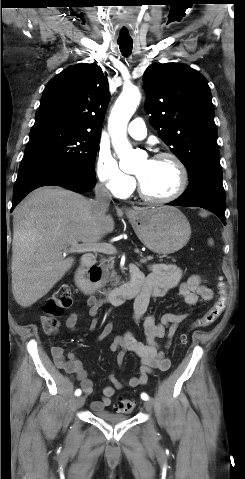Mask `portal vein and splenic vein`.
<instances>
[{"mask_svg": "<svg viewBox=\"0 0 245 479\" xmlns=\"http://www.w3.org/2000/svg\"><path fill=\"white\" fill-rule=\"evenodd\" d=\"M71 248L73 252H100L104 254H115L117 252L116 248L111 244H98V243H88L83 242L79 244L76 241L71 242ZM134 252L140 254L139 249H134Z\"/></svg>", "mask_w": 245, "mask_h": 479, "instance_id": "obj_1", "label": "portal vein and splenic vein"}]
</instances>
